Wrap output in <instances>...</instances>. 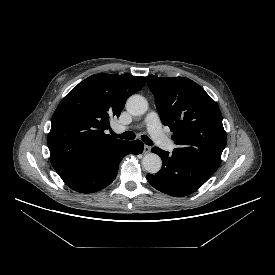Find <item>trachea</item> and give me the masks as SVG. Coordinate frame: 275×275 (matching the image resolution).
Instances as JSON below:
<instances>
[{
    "label": "trachea",
    "instance_id": "3493384b",
    "mask_svg": "<svg viewBox=\"0 0 275 275\" xmlns=\"http://www.w3.org/2000/svg\"><path fill=\"white\" fill-rule=\"evenodd\" d=\"M112 135L116 138H121V139H126V140H133L135 138V133L134 132H124L122 134H116L114 132H112ZM141 140L146 144V145H152V141L150 140V138L147 135H142L141 136Z\"/></svg>",
    "mask_w": 275,
    "mask_h": 275
}]
</instances>
